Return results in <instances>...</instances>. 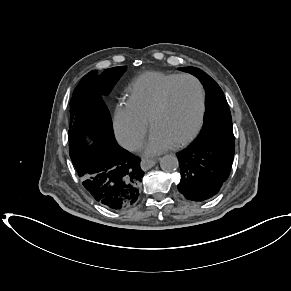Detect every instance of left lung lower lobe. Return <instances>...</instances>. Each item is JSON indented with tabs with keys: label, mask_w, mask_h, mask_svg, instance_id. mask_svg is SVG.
<instances>
[{
	"label": "left lung lower lobe",
	"mask_w": 291,
	"mask_h": 291,
	"mask_svg": "<svg viewBox=\"0 0 291 291\" xmlns=\"http://www.w3.org/2000/svg\"><path fill=\"white\" fill-rule=\"evenodd\" d=\"M234 146L194 141L178 153L179 192L188 200L203 202L216 196L229 177Z\"/></svg>",
	"instance_id": "left-lung-lower-lobe-1"
}]
</instances>
